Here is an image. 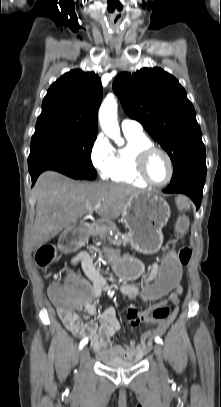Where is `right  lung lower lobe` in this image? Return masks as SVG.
<instances>
[{"mask_svg": "<svg viewBox=\"0 0 221 407\" xmlns=\"http://www.w3.org/2000/svg\"><path fill=\"white\" fill-rule=\"evenodd\" d=\"M39 174H40V173L31 174L32 184L35 183V181H36L37 177L39 176Z\"/></svg>", "mask_w": 221, "mask_h": 407, "instance_id": "obj_1", "label": "right lung lower lobe"}]
</instances>
